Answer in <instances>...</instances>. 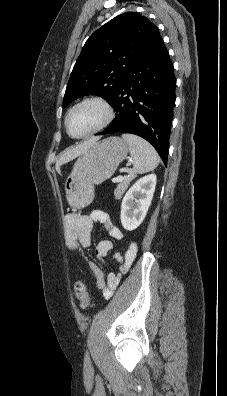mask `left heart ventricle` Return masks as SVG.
I'll return each mask as SVG.
<instances>
[{
  "mask_svg": "<svg viewBox=\"0 0 227 396\" xmlns=\"http://www.w3.org/2000/svg\"><path fill=\"white\" fill-rule=\"evenodd\" d=\"M104 118L103 109L97 104H87L76 109L69 117L72 135L81 136L96 127Z\"/></svg>",
  "mask_w": 227,
  "mask_h": 396,
  "instance_id": "b2bd125f",
  "label": "left heart ventricle"
}]
</instances>
